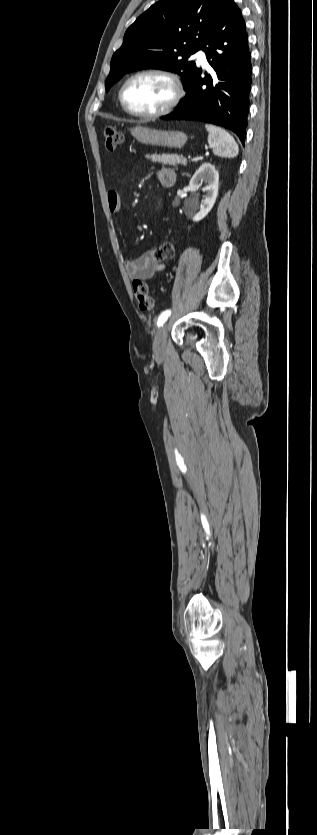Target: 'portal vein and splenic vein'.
Masks as SVG:
<instances>
[{
	"instance_id": "obj_1",
	"label": "portal vein and splenic vein",
	"mask_w": 317,
	"mask_h": 835,
	"mask_svg": "<svg viewBox=\"0 0 317 835\" xmlns=\"http://www.w3.org/2000/svg\"><path fill=\"white\" fill-rule=\"evenodd\" d=\"M194 160H195V161H197V160H198V158H194Z\"/></svg>"
}]
</instances>
